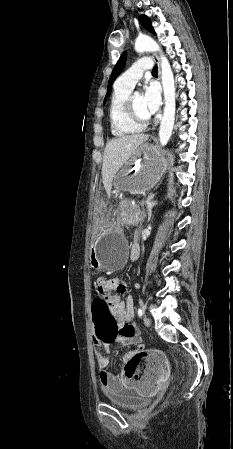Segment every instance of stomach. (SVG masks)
I'll list each match as a JSON object with an SVG mask.
<instances>
[{"label": "stomach", "mask_w": 233, "mask_h": 449, "mask_svg": "<svg viewBox=\"0 0 233 449\" xmlns=\"http://www.w3.org/2000/svg\"><path fill=\"white\" fill-rule=\"evenodd\" d=\"M172 156L159 154L150 144H142L115 176L114 193H145L159 181ZM112 212H96L98 237L92 243L91 266L96 270H120L127 256V241L120 228H113Z\"/></svg>", "instance_id": "1"}]
</instances>
